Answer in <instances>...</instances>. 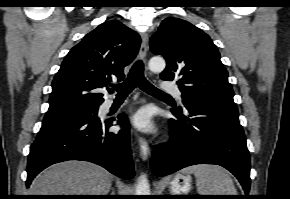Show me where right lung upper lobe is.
<instances>
[{"label": "right lung upper lobe", "mask_w": 290, "mask_h": 199, "mask_svg": "<svg viewBox=\"0 0 290 199\" xmlns=\"http://www.w3.org/2000/svg\"><path fill=\"white\" fill-rule=\"evenodd\" d=\"M139 47V35L117 20L88 33L66 55L55 75L46 115L99 106L104 101L101 89L112 77L124 79L123 68L133 61Z\"/></svg>", "instance_id": "right-lung-upper-lobe-1"}]
</instances>
